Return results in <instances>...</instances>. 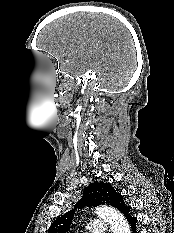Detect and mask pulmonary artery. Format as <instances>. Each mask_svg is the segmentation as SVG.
Masks as SVG:
<instances>
[{"label":"pulmonary artery","mask_w":174,"mask_h":233,"mask_svg":"<svg viewBox=\"0 0 174 233\" xmlns=\"http://www.w3.org/2000/svg\"><path fill=\"white\" fill-rule=\"evenodd\" d=\"M89 233H105L107 231V224L103 220H91L87 224Z\"/></svg>","instance_id":"obj_1"}]
</instances>
